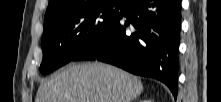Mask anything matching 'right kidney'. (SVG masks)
Returning <instances> with one entry per match:
<instances>
[{
    "label": "right kidney",
    "instance_id": "ca27d5eb",
    "mask_svg": "<svg viewBox=\"0 0 221 102\" xmlns=\"http://www.w3.org/2000/svg\"><path fill=\"white\" fill-rule=\"evenodd\" d=\"M144 102H151L150 100H144Z\"/></svg>",
    "mask_w": 221,
    "mask_h": 102
}]
</instances>
